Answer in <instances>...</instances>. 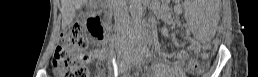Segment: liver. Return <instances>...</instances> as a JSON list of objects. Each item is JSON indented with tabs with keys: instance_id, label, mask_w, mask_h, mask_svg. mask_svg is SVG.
Instances as JSON below:
<instances>
[{
	"instance_id": "6515ba94",
	"label": "liver",
	"mask_w": 258,
	"mask_h": 77,
	"mask_svg": "<svg viewBox=\"0 0 258 77\" xmlns=\"http://www.w3.org/2000/svg\"><path fill=\"white\" fill-rule=\"evenodd\" d=\"M88 0H61L62 26H68L75 17V8L80 9Z\"/></svg>"
}]
</instances>
